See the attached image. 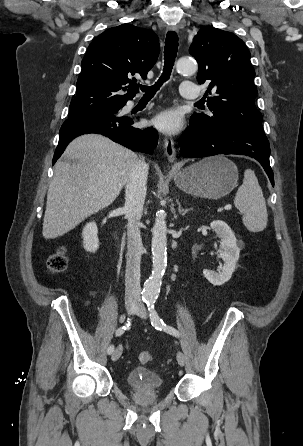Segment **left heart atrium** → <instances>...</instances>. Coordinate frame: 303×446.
Masks as SVG:
<instances>
[{"mask_svg":"<svg viewBox=\"0 0 303 446\" xmlns=\"http://www.w3.org/2000/svg\"><path fill=\"white\" fill-rule=\"evenodd\" d=\"M153 124L165 133H176L181 127V117L175 110H167L158 114L153 119Z\"/></svg>","mask_w":303,"mask_h":446,"instance_id":"1","label":"left heart atrium"}]
</instances>
